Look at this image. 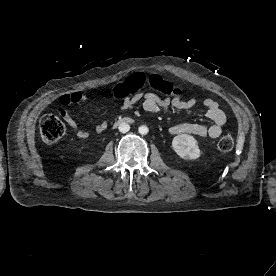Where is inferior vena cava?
Here are the masks:
<instances>
[{"instance_id": "602c4592", "label": "inferior vena cava", "mask_w": 276, "mask_h": 276, "mask_svg": "<svg viewBox=\"0 0 276 276\" xmlns=\"http://www.w3.org/2000/svg\"><path fill=\"white\" fill-rule=\"evenodd\" d=\"M130 130V126L126 123H121L119 125V131L122 132V133H126Z\"/></svg>"}]
</instances>
